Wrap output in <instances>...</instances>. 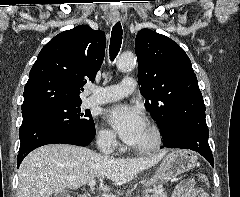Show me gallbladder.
<instances>
[{"mask_svg": "<svg viewBox=\"0 0 240 197\" xmlns=\"http://www.w3.org/2000/svg\"><path fill=\"white\" fill-rule=\"evenodd\" d=\"M55 197H71V196L68 192L63 191L61 193L55 194Z\"/></svg>", "mask_w": 240, "mask_h": 197, "instance_id": "gallbladder-1", "label": "gallbladder"}]
</instances>
